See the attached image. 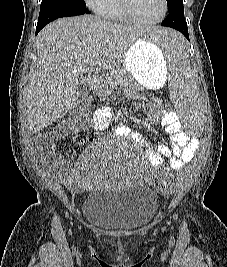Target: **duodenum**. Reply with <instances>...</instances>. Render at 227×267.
<instances>
[{"instance_id": "1", "label": "duodenum", "mask_w": 227, "mask_h": 267, "mask_svg": "<svg viewBox=\"0 0 227 267\" xmlns=\"http://www.w3.org/2000/svg\"><path fill=\"white\" fill-rule=\"evenodd\" d=\"M100 80H101L100 75H97V74L93 75L91 82H90V86H89L92 92H95L97 90Z\"/></svg>"}]
</instances>
